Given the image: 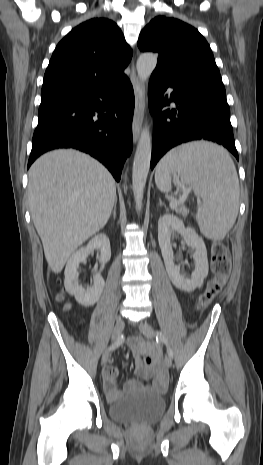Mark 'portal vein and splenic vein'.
<instances>
[{
    "label": "portal vein and splenic vein",
    "instance_id": "obj_1",
    "mask_svg": "<svg viewBox=\"0 0 263 465\" xmlns=\"http://www.w3.org/2000/svg\"><path fill=\"white\" fill-rule=\"evenodd\" d=\"M189 193H190V189H184L183 195L179 200H173L170 202V208L175 209L179 204H183Z\"/></svg>",
    "mask_w": 263,
    "mask_h": 465
}]
</instances>
